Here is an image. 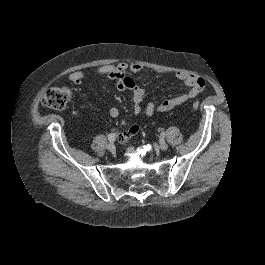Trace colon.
<instances>
[{"instance_id":"obj_1","label":"colon","mask_w":265,"mask_h":265,"mask_svg":"<svg viewBox=\"0 0 265 265\" xmlns=\"http://www.w3.org/2000/svg\"><path fill=\"white\" fill-rule=\"evenodd\" d=\"M72 98V91L69 87H53L48 89L43 97L42 104L53 110H63ZM200 106L199 102L196 101L192 104L194 110Z\"/></svg>"}]
</instances>
